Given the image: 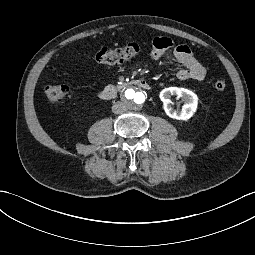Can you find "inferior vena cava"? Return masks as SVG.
Listing matches in <instances>:
<instances>
[{"instance_id": "1", "label": "inferior vena cava", "mask_w": 255, "mask_h": 255, "mask_svg": "<svg viewBox=\"0 0 255 255\" xmlns=\"http://www.w3.org/2000/svg\"><path fill=\"white\" fill-rule=\"evenodd\" d=\"M112 111L115 114H122L124 111H126V106L123 102L117 101L113 104Z\"/></svg>"}]
</instances>
